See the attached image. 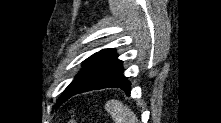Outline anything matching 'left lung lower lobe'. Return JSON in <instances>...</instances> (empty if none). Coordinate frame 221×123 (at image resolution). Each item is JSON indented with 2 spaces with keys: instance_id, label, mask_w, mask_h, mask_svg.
Segmentation results:
<instances>
[{
  "instance_id": "1",
  "label": "left lung lower lobe",
  "mask_w": 221,
  "mask_h": 123,
  "mask_svg": "<svg viewBox=\"0 0 221 123\" xmlns=\"http://www.w3.org/2000/svg\"><path fill=\"white\" fill-rule=\"evenodd\" d=\"M103 88H121L127 94L130 93L131 86L130 82L123 75L122 61L115 60L103 68L95 76L85 82L79 89L74 91L70 97L78 93Z\"/></svg>"
}]
</instances>
